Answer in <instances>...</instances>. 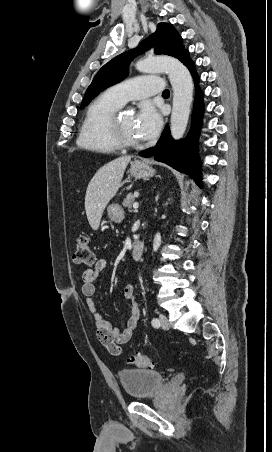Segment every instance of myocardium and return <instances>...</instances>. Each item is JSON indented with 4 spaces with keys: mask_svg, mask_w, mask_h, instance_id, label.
I'll return each mask as SVG.
<instances>
[{
    "mask_svg": "<svg viewBox=\"0 0 272 452\" xmlns=\"http://www.w3.org/2000/svg\"><path fill=\"white\" fill-rule=\"evenodd\" d=\"M121 111L117 110L110 117L108 122V135L112 142L119 148H136L140 145L139 141H132L128 139L122 129L119 122Z\"/></svg>",
    "mask_w": 272,
    "mask_h": 452,
    "instance_id": "obj_1",
    "label": "myocardium"
}]
</instances>
